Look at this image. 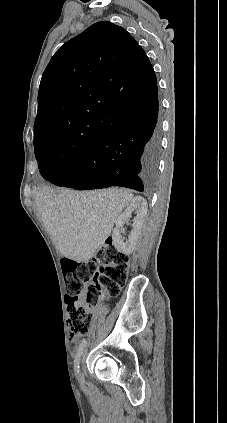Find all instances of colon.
I'll return each mask as SVG.
<instances>
[{"label": "colon", "instance_id": "obj_1", "mask_svg": "<svg viewBox=\"0 0 227 423\" xmlns=\"http://www.w3.org/2000/svg\"><path fill=\"white\" fill-rule=\"evenodd\" d=\"M66 284L67 330L74 338L90 328L91 310L98 302L101 289L117 295L124 286L128 270V256L119 252L111 242H106L92 261H62Z\"/></svg>", "mask_w": 227, "mask_h": 423}]
</instances>
